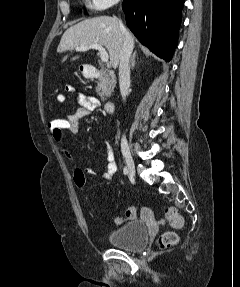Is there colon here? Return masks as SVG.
Returning <instances> with one entry per match:
<instances>
[{
  "instance_id": "1",
  "label": "colon",
  "mask_w": 240,
  "mask_h": 287,
  "mask_svg": "<svg viewBox=\"0 0 240 287\" xmlns=\"http://www.w3.org/2000/svg\"><path fill=\"white\" fill-rule=\"evenodd\" d=\"M50 131L55 138H62L68 129L67 119L64 117H58L49 122ZM74 182L75 185L82 189L86 186L85 175L81 170H76L74 172ZM137 216V210L135 207H129L123 218H116V224H121L123 221L135 220ZM166 219L170 225L174 228H180L183 225V218L179 214L176 208L169 207L165 212ZM178 242V236L175 232L168 231L163 233L158 239V245L160 248H170L176 245Z\"/></svg>"
}]
</instances>
